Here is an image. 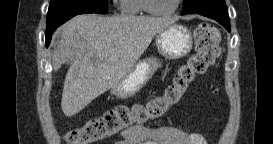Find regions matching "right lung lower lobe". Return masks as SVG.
Instances as JSON below:
<instances>
[{
  "label": "right lung lower lobe",
  "mask_w": 273,
  "mask_h": 144,
  "mask_svg": "<svg viewBox=\"0 0 273 144\" xmlns=\"http://www.w3.org/2000/svg\"><path fill=\"white\" fill-rule=\"evenodd\" d=\"M86 13H93L91 11H80V12H73L70 14H67L61 18H59L55 23L54 26L50 29L47 30L45 33L46 36V47H48V45L50 44L51 38H52V34L54 33V31L56 30V28L60 25H62L63 23H65L67 20L71 19L72 17L78 15V14H86Z\"/></svg>",
  "instance_id": "right-lung-lower-lobe-1"
}]
</instances>
